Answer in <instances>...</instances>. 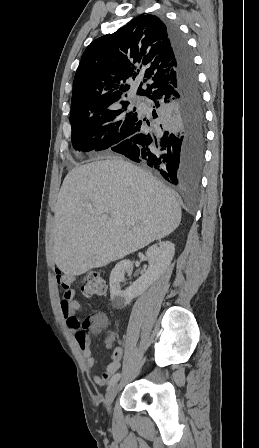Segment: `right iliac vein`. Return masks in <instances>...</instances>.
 Returning a JSON list of instances; mask_svg holds the SVG:
<instances>
[{"mask_svg": "<svg viewBox=\"0 0 259 448\" xmlns=\"http://www.w3.org/2000/svg\"><path fill=\"white\" fill-rule=\"evenodd\" d=\"M118 390H119V384L115 383L107 391V394H106V408H107V411L109 413L111 411V404H112L113 400L115 399V397H116V395L118 393Z\"/></svg>", "mask_w": 259, "mask_h": 448, "instance_id": "1", "label": "right iliac vein"}]
</instances>
